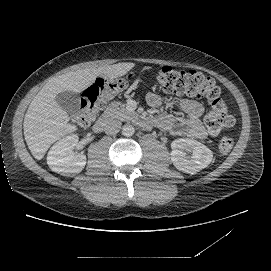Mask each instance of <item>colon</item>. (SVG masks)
Masks as SVG:
<instances>
[{"label":"colon","instance_id":"obj_1","mask_svg":"<svg viewBox=\"0 0 271 271\" xmlns=\"http://www.w3.org/2000/svg\"><path fill=\"white\" fill-rule=\"evenodd\" d=\"M155 87L157 90L193 97H201L208 101L210 110L204 119V125L209 135L215 136L222 130L232 126L235 122L228 107L221 99L220 89L215 81L199 71H185L164 66L155 73ZM129 85L126 77L118 79L97 78L86 90L79 110L74 115V121L82 126H89L97 112L116 94L125 90ZM234 146L231 137H223L219 144L220 154H228Z\"/></svg>","mask_w":271,"mask_h":271}]
</instances>
